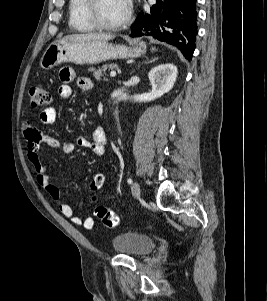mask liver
Segmentation results:
<instances>
[{"label":"liver","mask_w":267,"mask_h":301,"mask_svg":"<svg viewBox=\"0 0 267 301\" xmlns=\"http://www.w3.org/2000/svg\"><path fill=\"white\" fill-rule=\"evenodd\" d=\"M115 36L105 33H88V34H74V35H68L64 37L66 40L71 41H91V40H100V41H108L113 39Z\"/></svg>","instance_id":"1"}]
</instances>
